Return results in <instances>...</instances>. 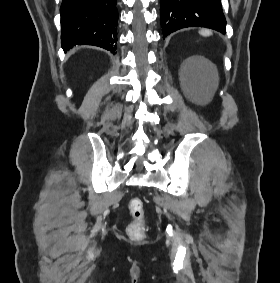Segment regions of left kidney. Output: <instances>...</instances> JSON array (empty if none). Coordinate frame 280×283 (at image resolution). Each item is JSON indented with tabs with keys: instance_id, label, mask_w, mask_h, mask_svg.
I'll return each mask as SVG.
<instances>
[{
	"instance_id": "obj_1",
	"label": "left kidney",
	"mask_w": 280,
	"mask_h": 283,
	"mask_svg": "<svg viewBox=\"0 0 280 283\" xmlns=\"http://www.w3.org/2000/svg\"><path fill=\"white\" fill-rule=\"evenodd\" d=\"M199 61L203 62L204 64H207L206 60L200 57H193L190 58L186 61V64L188 65H195L197 64ZM200 67H203V65H200Z\"/></svg>"
}]
</instances>
